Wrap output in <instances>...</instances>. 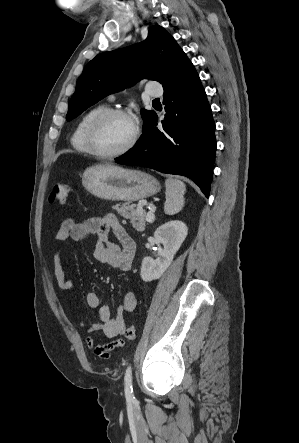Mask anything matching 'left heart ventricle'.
<instances>
[{"mask_svg": "<svg viewBox=\"0 0 299 443\" xmlns=\"http://www.w3.org/2000/svg\"><path fill=\"white\" fill-rule=\"evenodd\" d=\"M133 123L125 117H112L101 126L96 143L100 151L112 153L122 149L131 139Z\"/></svg>", "mask_w": 299, "mask_h": 443, "instance_id": "b2bd125f", "label": "left heart ventricle"}]
</instances>
